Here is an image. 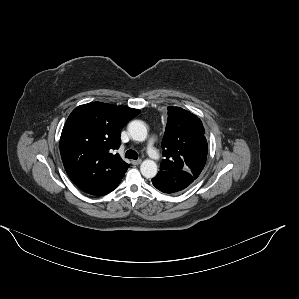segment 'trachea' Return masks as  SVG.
Returning <instances> with one entry per match:
<instances>
[{"label":"trachea","mask_w":299,"mask_h":299,"mask_svg":"<svg viewBox=\"0 0 299 299\" xmlns=\"http://www.w3.org/2000/svg\"><path fill=\"white\" fill-rule=\"evenodd\" d=\"M125 157L126 158H129V159H138V154L134 151V150H128L126 153H125Z\"/></svg>","instance_id":"1"}]
</instances>
